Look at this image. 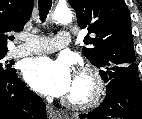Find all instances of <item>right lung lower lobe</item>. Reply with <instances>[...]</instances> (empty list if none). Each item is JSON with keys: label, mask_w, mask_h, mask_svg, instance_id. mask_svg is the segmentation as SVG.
<instances>
[{"label": "right lung lower lobe", "mask_w": 142, "mask_h": 119, "mask_svg": "<svg viewBox=\"0 0 142 119\" xmlns=\"http://www.w3.org/2000/svg\"><path fill=\"white\" fill-rule=\"evenodd\" d=\"M45 103L17 77H0V119H46Z\"/></svg>", "instance_id": "1"}]
</instances>
